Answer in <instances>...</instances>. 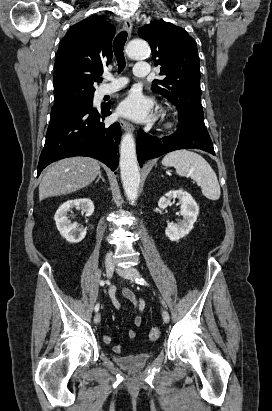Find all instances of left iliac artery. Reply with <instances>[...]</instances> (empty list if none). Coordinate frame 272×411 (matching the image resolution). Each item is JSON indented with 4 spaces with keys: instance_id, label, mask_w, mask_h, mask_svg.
<instances>
[{
    "instance_id": "left-iliac-artery-1",
    "label": "left iliac artery",
    "mask_w": 272,
    "mask_h": 411,
    "mask_svg": "<svg viewBox=\"0 0 272 411\" xmlns=\"http://www.w3.org/2000/svg\"><path fill=\"white\" fill-rule=\"evenodd\" d=\"M135 282L138 283V284H141V285L146 284V281L143 278H136Z\"/></svg>"
}]
</instances>
